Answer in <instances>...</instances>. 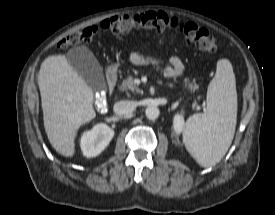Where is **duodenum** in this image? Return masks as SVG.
<instances>
[{
  "label": "duodenum",
  "mask_w": 275,
  "mask_h": 215,
  "mask_svg": "<svg viewBox=\"0 0 275 215\" xmlns=\"http://www.w3.org/2000/svg\"><path fill=\"white\" fill-rule=\"evenodd\" d=\"M107 85L109 93H113L117 84V74L115 71L110 70L106 74Z\"/></svg>",
  "instance_id": "1"
}]
</instances>
